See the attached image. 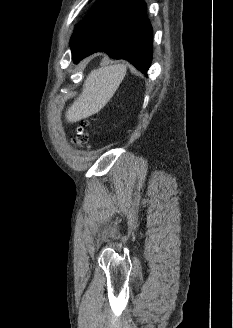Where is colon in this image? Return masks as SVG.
Here are the masks:
<instances>
[{
    "mask_svg": "<svg viewBox=\"0 0 233 328\" xmlns=\"http://www.w3.org/2000/svg\"><path fill=\"white\" fill-rule=\"evenodd\" d=\"M86 125L83 124L77 129L76 136L73 139V142L78 145L82 146L88 142V134L86 133Z\"/></svg>",
    "mask_w": 233,
    "mask_h": 328,
    "instance_id": "5ec220e1",
    "label": "colon"
}]
</instances>
